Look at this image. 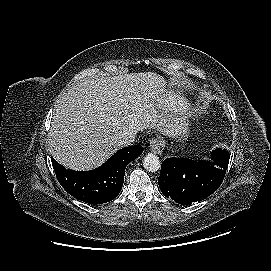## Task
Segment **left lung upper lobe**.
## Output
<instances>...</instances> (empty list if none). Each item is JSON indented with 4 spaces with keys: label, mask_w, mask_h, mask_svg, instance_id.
<instances>
[{
    "label": "left lung upper lobe",
    "mask_w": 271,
    "mask_h": 271,
    "mask_svg": "<svg viewBox=\"0 0 271 271\" xmlns=\"http://www.w3.org/2000/svg\"><path fill=\"white\" fill-rule=\"evenodd\" d=\"M212 159L217 162L223 161L225 165H228L229 154L226 150L217 149L212 153Z\"/></svg>",
    "instance_id": "obj_1"
}]
</instances>
